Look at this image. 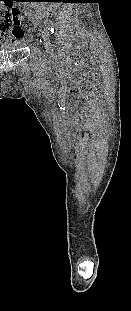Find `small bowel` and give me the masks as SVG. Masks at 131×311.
Returning a JSON list of instances; mask_svg holds the SVG:
<instances>
[{
    "mask_svg": "<svg viewBox=\"0 0 131 311\" xmlns=\"http://www.w3.org/2000/svg\"><path fill=\"white\" fill-rule=\"evenodd\" d=\"M45 13H34L32 16L36 20H40ZM12 36L13 41L19 40L20 42H30L33 40L34 35L33 34H24L23 29H13V30H7V31H1L0 32V42H6L8 39ZM11 40V41H12Z\"/></svg>",
    "mask_w": 131,
    "mask_h": 311,
    "instance_id": "small-bowel-1",
    "label": "small bowel"
}]
</instances>
